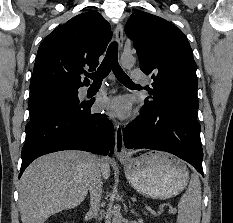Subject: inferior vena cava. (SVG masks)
<instances>
[{
    "label": "inferior vena cava",
    "instance_id": "inferior-vena-cava-1",
    "mask_svg": "<svg viewBox=\"0 0 233 223\" xmlns=\"http://www.w3.org/2000/svg\"><path fill=\"white\" fill-rule=\"evenodd\" d=\"M96 157V155H94ZM99 161H101L100 157H96V163L92 165V169L90 171V179L88 183L89 191H90V209L93 211L94 217H97L98 211L100 209V199L102 197V179H101V171L99 167Z\"/></svg>",
    "mask_w": 233,
    "mask_h": 223
}]
</instances>
